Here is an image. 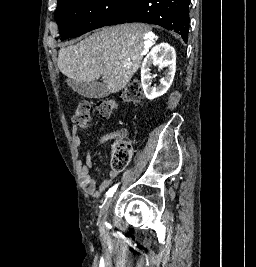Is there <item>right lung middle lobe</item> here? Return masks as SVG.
<instances>
[{
	"instance_id": "right-lung-middle-lobe-1",
	"label": "right lung middle lobe",
	"mask_w": 256,
	"mask_h": 267,
	"mask_svg": "<svg viewBox=\"0 0 256 267\" xmlns=\"http://www.w3.org/2000/svg\"><path fill=\"white\" fill-rule=\"evenodd\" d=\"M138 0H60L55 20L63 39L78 37L128 14Z\"/></svg>"
}]
</instances>
